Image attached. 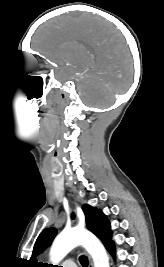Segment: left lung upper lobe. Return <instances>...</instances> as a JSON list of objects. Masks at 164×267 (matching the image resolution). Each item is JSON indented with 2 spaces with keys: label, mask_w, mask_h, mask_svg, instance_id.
Masks as SVG:
<instances>
[{
  "label": "left lung upper lobe",
  "mask_w": 164,
  "mask_h": 267,
  "mask_svg": "<svg viewBox=\"0 0 164 267\" xmlns=\"http://www.w3.org/2000/svg\"><path fill=\"white\" fill-rule=\"evenodd\" d=\"M82 209L85 214L86 224L88 229L91 232H93L103 242L111 234V227L108 219L101 210H98L95 207H91L87 204H84ZM72 218H74V215L72 216ZM56 234L57 230L55 228H48L45 229L39 235L34 245L31 261L35 258V256L38 253H40L42 250H44L47 246L51 244ZM36 266L48 267L50 265L43 264L42 262H40L37 263Z\"/></svg>",
  "instance_id": "left-lung-upper-lobe-1"
}]
</instances>
